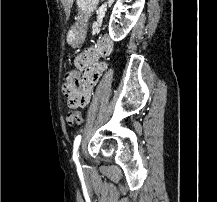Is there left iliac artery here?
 <instances>
[{
	"mask_svg": "<svg viewBox=\"0 0 217 202\" xmlns=\"http://www.w3.org/2000/svg\"><path fill=\"white\" fill-rule=\"evenodd\" d=\"M81 142V135L76 136L75 140H74V145H73V160L78 163V148Z\"/></svg>",
	"mask_w": 217,
	"mask_h": 202,
	"instance_id": "1",
	"label": "left iliac artery"
}]
</instances>
